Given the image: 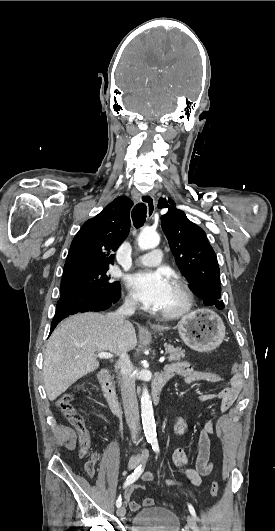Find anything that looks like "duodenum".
Returning <instances> with one entry per match:
<instances>
[{"mask_svg": "<svg viewBox=\"0 0 275 531\" xmlns=\"http://www.w3.org/2000/svg\"><path fill=\"white\" fill-rule=\"evenodd\" d=\"M111 369L109 367L103 368L98 374V383L104 393L110 410L113 413H119L121 405L116 393V389L111 378ZM170 379V375L167 372H158L151 380L150 397L154 404L160 401L162 391L165 383Z\"/></svg>", "mask_w": 275, "mask_h": 531, "instance_id": "1", "label": "duodenum"}]
</instances>
